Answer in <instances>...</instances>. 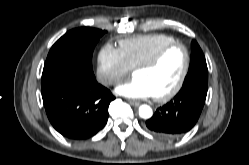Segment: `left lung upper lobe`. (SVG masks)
<instances>
[{
    "instance_id": "1",
    "label": "left lung upper lobe",
    "mask_w": 249,
    "mask_h": 165,
    "mask_svg": "<svg viewBox=\"0 0 249 165\" xmlns=\"http://www.w3.org/2000/svg\"><path fill=\"white\" fill-rule=\"evenodd\" d=\"M196 79L208 81V69L204 54L200 46L195 40H193L190 67L183 84Z\"/></svg>"
}]
</instances>
